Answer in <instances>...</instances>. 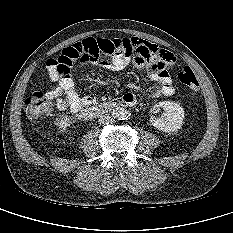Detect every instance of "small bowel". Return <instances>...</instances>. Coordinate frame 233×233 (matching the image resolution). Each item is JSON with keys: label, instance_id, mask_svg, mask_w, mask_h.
<instances>
[{"label": "small bowel", "instance_id": "obj_1", "mask_svg": "<svg viewBox=\"0 0 233 233\" xmlns=\"http://www.w3.org/2000/svg\"><path fill=\"white\" fill-rule=\"evenodd\" d=\"M132 45L131 54H116L110 60H104L98 63L103 69L118 72L123 70L129 64L136 69L148 68L150 87L148 95L156 98L159 96L170 97L174 95L173 86L169 69L176 62L175 55L157 45L145 40H128ZM47 70L50 79L57 83V87L51 91L56 96V105L60 110L70 109V111L79 118L81 109L91 103L89 96H80L75 90V84L70 74L61 75L52 63V59L47 62ZM124 97H133L131 93Z\"/></svg>", "mask_w": 233, "mask_h": 233}]
</instances>
